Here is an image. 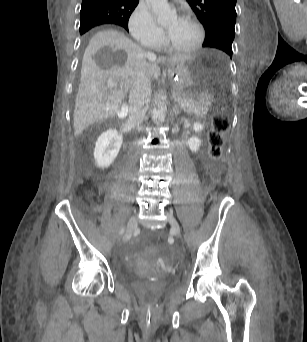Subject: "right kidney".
<instances>
[{
  "instance_id": "right-kidney-1",
  "label": "right kidney",
  "mask_w": 307,
  "mask_h": 342,
  "mask_svg": "<svg viewBox=\"0 0 307 342\" xmlns=\"http://www.w3.org/2000/svg\"><path fill=\"white\" fill-rule=\"evenodd\" d=\"M111 150H108L109 146ZM123 144V136L117 130H106L99 136L94 148V158L97 168H109L117 158Z\"/></svg>"
}]
</instances>
